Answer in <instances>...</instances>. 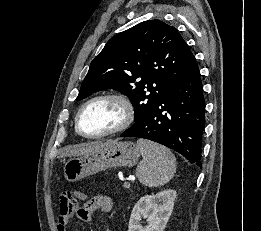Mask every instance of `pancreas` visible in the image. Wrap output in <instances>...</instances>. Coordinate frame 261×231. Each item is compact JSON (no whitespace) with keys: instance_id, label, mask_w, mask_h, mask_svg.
<instances>
[{"instance_id":"cf45deb5","label":"pancreas","mask_w":261,"mask_h":231,"mask_svg":"<svg viewBox=\"0 0 261 231\" xmlns=\"http://www.w3.org/2000/svg\"><path fill=\"white\" fill-rule=\"evenodd\" d=\"M124 187H125V188H129L130 186H128V185H126V184H124Z\"/></svg>"}]
</instances>
